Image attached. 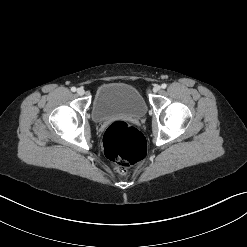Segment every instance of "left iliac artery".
Returning a JSON list of instances; mask_svg holds the SVG:
<instances>
[{
    "label": "left iliac artery",
    "instance_id": "1",
    "mask_svg": "<svg viewBox=\"0 0 247 247\" xmlns=\"http://www.w3.org/2000/svg\"><path fill=\"white\" fill-rule=\"evenodd\" d=\"M161 87H162L163 89H165V88L167 87V85H166L165 83H163V84L161 85Z\"/></svg>",
    "mask_w": 247,
    "mask_h": 247
}]
</instances>
